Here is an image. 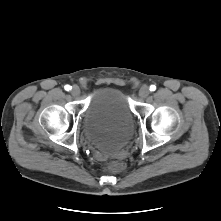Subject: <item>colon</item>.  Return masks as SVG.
I'll return each instance as SVG.
<instances>
[{
    "instance_id": "5ec220e1",
    "label": "colon",
    "mask_w": 221,
    "mask_h": 221,
    "mask_svg": "<svg viewBox=\"0 0 221 221\" xmlns=\"http://www.w3.org/2000/svg\"><path fill=\"white\" fill-rule=\"evenodd\" d=\"M108 168L111 171L119 172L125 169V163L119 159H113L109 161Z\"/></svg>"
}]
</instances>
